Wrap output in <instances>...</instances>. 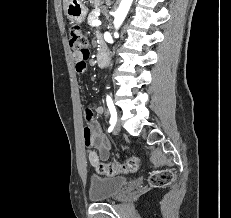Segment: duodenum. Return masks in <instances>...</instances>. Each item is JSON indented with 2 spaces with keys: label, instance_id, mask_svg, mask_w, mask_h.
Returning a JSON list of instances; mask_svg holds the SVG:
<instances>
[{
  "label": "duodenum",
  "instance_id": "duodenum-1",
  "mask_svg": "<svg viewBox=\"0 0 231 218\" xmlns=\"http://www.w3.org/2000/svg\"><path fill=\"white\" fill-rule=\"evenodd\" d=\"M107 58H108L107 51L104 48H101L97 56L98 65H103Z\"/></svg>",
  "mask_w": 231,
  "mask_h": 218
}]
</instances>
